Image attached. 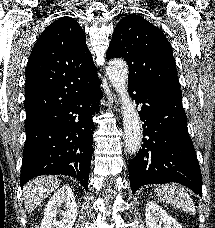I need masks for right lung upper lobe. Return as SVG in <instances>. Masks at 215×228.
<instances>
[{
	"label": "right lung upper lobe",
	"mask_w": 215,
	"mask_h": 228,
	"mask_svg": "<svg viewBox=\"0 0 215 228\" xmlns=\"http://www.w3.org/2000/svg\"><path fill=\"white\" fill-rule=\"evenodd\" d=\"M96 73L80 25L67 16L53 22L36 41L27 64L25 123L62 105L72 87Z\"/></svg>",
	"instance_id": "obj_1"
}]
</instances>
